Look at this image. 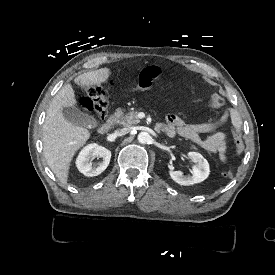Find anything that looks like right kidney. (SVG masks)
<instances>
[{"label":"right kidney","instance_id":"obj_1","mask_svg":"<svg viewBox=\"0 0 275 275\" xmlns=\"http://www.w3.org/2000/svg\"><path fill=\"white\" fill-rule=\"evenodd\" d=\"M94 156H99L103 158L96 168L92 167L89 162L90 158ZM111 159V151L105 147L99 146L96 143H91L85 146L79 153L76 159V167L85 176L92 177L101 174L109 165Z\"/></svg>","mask_w":275,"mask_h":275}]
</instances>
